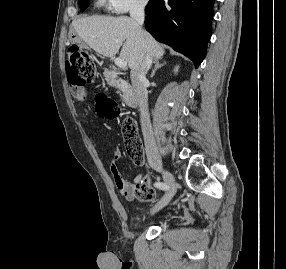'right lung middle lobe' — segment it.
Here are the masks:
<instances>
[{
	"mask_svg": "<svg viewBox=\"0 0 286 269\" xmlns=\"http://www.w3.org/2000/svg\"><path fill=\"white\" fill-rule=\"evenodd\" d=\"M156 0H150L148 5H151L155 2ZM89 0H78L79 3V7L81 11H84V9L86 8V6L88 5Z\"/></svg>",
	"mask_w": 286,
	"mask_h": 269,
	"instance_id": "dd1d6c3e",
	"label": "right lung middle lobe"
}]
</instances>
